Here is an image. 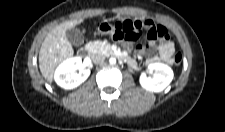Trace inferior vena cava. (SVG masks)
<instances>
[{
	"instance_id": "obj_1",
	"label": "inferior vena cava",
	"mask_w": 225,
	"mask_h": 132,
	"mask_svg": "<svg viewBox=\"0 0 225 132\" xmlns=\"http://www.w3.org/2000/svg\"><path fill=\"white\" fill-rule=\"evenodd\" d=\"M92 60L96 64H101L104 62L105 57L103 55L97 54L92 57Z\"/></svg>"
}]
</instances>
